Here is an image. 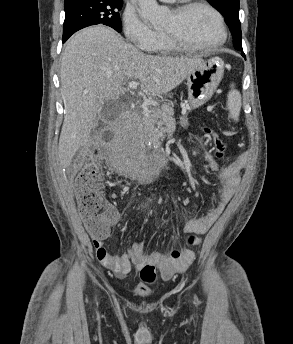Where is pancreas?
<instances>
[{"label":"pancreas","mask_w":293,"mask_h":344,"mask_svg":"<svg viewBox=\"0 0 293 344\" xmlns=\"http://www.w3.org/2000/svg\"><path fill=\"white\" fill-rule=\"evenodd\" d=\"M173 110L169 105L163 104L160 108H149L142 113L136 130L124 129L120 131V138H131L134 135L146 134L154 130L155 125H168L173 123Z\"/></svg>","instance_id":"1"}]
</instances>
